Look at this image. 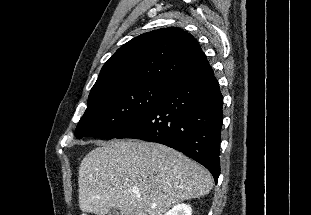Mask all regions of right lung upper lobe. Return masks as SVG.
Segmentation results:
<instances>
[{
  "label": "right lung upper lobe",
  "mask_w": 311,
  "mask_h": 215,
  "mask_svg": "<svg viewBox=\"0 0 311 215\" xmlns=\"http://www.w3.org/2000/svg\"><path fill=\"white\" fill-rule=\"evenodd\" d=\"M209 62L197 40L178 27L141 34L103 65L90 95L105 88L142 83L168 84Z\"/></svg>",
  "instance_id": "cb5924a9"
}]
</instances>
